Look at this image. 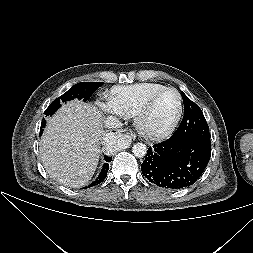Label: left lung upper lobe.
<instances>
[{"label":"left lung upper lobe","mask_w":253,"mask_h":253,"mask_svg":"<svg viewBox=\"0 0 253 253\" xmlns=\"http://www.w3.org/2000/svg\"><path fill=\"white\" fill-rule=\"evenodd\" d=\"M181 95L184 102V117L178 129L171 137L196 140L211 146L209 127L203 112L183 92H181Z\"/></svg>","instance_id":"5c2ea615"}]
</instances>
